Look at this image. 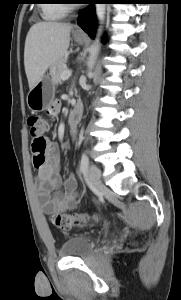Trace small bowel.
Here are the masks:
<instances>
[{
	"label": "small bowel",
	"mask_w": 181,
	"mask_h": 300,
	"mask_svg": "<svg viewBox=\"0 0 181 300\" xmlns=\"http://www.w3.org/2000/svg\"><path fill=\"white\" fill-rule=\"evenodd\" d=\"M61 108L59 101H54L48 108V113L56 115ZM72 131V133H74ZM59 152L57 146L49 142L42 154L33 152V164L38 170L37 195L46 214L72 209L77 203V181L70 175L62 182L59 176Z\"/></svg>",
	"instance_id": "c3829d8e"
}]
</instances>
